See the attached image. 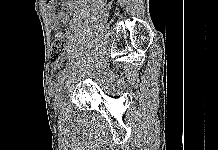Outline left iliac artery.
<instances>
[{"instance_id":"1","label":"left iliac artery","mask_w":218,"mask_h":150,"mask_svg":"<svg viewBox=\"0 0 218 150\" xmlns=\"http://www.w3.org/2000/svg\"><path fill=\"white\" fill-rule=\"evenodd\" d=\"M70 73L68 71H63V76L61 77L60 81L58 82V85L61 87L64 82V77L68 76Z\"/></svg>"}]
</instances>
